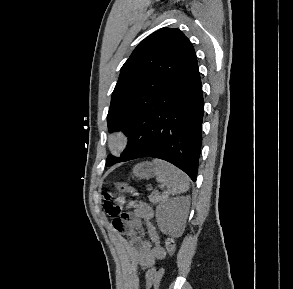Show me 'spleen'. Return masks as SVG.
I'll use <instances>...</instances> for the list:
<instances>
[{
  "instance_id": "spleen-1",
  "label": "spleen",
  "mask_w": 293,
  "mask_h": 289,
  "mask_svg": "<svg viewBox=\"0 0 293 289\" xmlns=\"http://www.w3.org/2000/svg\"><path fill=\"white\" fill-rule=\"evenodd\" d=\"M153 165L156 171L157 182L167 188L165 194H181L189 189V179L184 172L160 159L153 160Z\"/></svg>"
}]
</instances>
